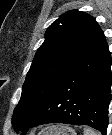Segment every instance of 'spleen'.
I'll return each instance as SVG.
<instances>
[{"mask_svg":"<svg viewBox=\"0 0 112 135\" xmlns=\"http://www.w3.org/2000/svg\"><path fill=\"white\" fill-rule=\"evenodd\" d=\"M84 135H99V134L91 129L86 128L84 130Z\"/></svg>","mask_w":112,"mask_h":135,"instance_id":"1","label":"spleen"}]
</instances>
